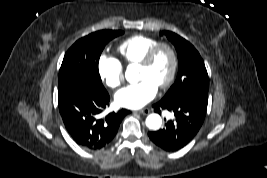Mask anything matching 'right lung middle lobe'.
I'll return each mask as SVG.
<instances>
[{"label": "right lung middle lobe", "instance_id": "obj_1", "mask_svg": "<svg viewBox=\"0 0 267 178\" xmlns=\"http://www.w3.org/2000/svg\"><path fill=\"white\" fill-rule=\"evenodd\" d=\"M121 34L122 31L101 30L76 41L64 56L59 71V89L83 84L106 91L99 75V58L105 45Z\"/></svg>", "mask_w": 267, "mask_h": 178}]
</instances>
